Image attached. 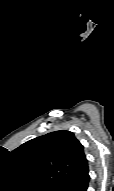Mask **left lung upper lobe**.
<instances>
[{"label":"left lung upper lobe","mask_w":114,"mask_h":191,"mask_svg":"<svg viewBox=\"0 0 114 191\" xmlns=\"http://www.w3.org/2000/svg\"><path fill=\"white\" fill-rule=\"evenodd\" d=\"M12 154L20 169L46 191H64L87 165L82 144L66 130L34 138Z\"/></svg>","instance_id":"1"}]
</instances>
